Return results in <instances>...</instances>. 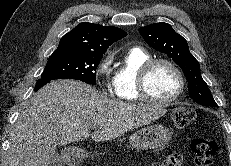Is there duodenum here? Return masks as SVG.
<instances>
[{"label":"duodenum","instance_id":"1","mask_svg":"<svg viewBox=\"0 0 231 166\" xmlns=\"http://www.w3.org/2000/svg\"><path fill=\"white\" fill-rule=\"evenodd\" d=\"M63 158L65 161H78L79 163H86L87 158L85 156H78L73 151H65L63 154Z\"/></svg>","mask_w":231,"mask_h":166}]
</instances>
